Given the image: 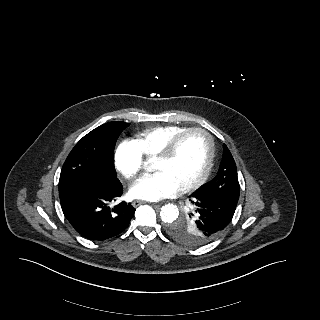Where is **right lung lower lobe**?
Listing matches in <instances>:
<instances>
[{
	"label": "right lung lower lobe",
	"instance_id": "1",
	"mask_svg": "<svg viewBox=\"0 0 320 320\" xmlns=\"http://www.w3.org/2000/svg\"><path fill=\"white\" fill-rule=\"evenodd\" d=\"M123 193L119 182L112 186H82L59 189L62 211L84 238L103 241L119 235L129 225L135 209L130 203L109 205Z\"/></svg>",
	"mask_w": 320,
	"mask_h": 320
}]
</instances>
